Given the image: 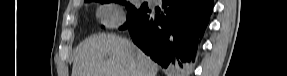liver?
Segmentation results:
<instances>
[{"label":"liver","mask_w":287,"mask_h":76,"mask_svg":"<svg viewBox=\"0 0 287 76\" xmlns=\"http://www.w3.org/2000/svg\"><path fill=\"white\" fill-rule=\"evenodd\" d=\"M158 66L122 37L101 33L75 50L71 76H156Z\"/></svg>","instance_id":"liver-1"}]
</instances>
